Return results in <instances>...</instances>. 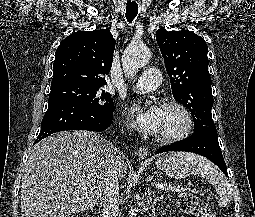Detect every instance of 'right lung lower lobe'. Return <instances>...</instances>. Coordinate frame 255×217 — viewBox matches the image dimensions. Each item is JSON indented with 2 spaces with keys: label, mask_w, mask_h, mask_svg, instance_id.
Segmentation results:
<instances>
[{
  "label": "right lung lower lobe",
  "mask_w": 255,
  "mask_h": 217,
  "mask_svg": "<svg viewBox=\"0 0 255 217\" xmlns=\"http://www.w3.org/2000/svg\"><path fill=\"white\" fill-rule=\"evenodd\" d=\"M113 112L103 113L66 100L49 102L43 117L40 133L34 142L65 130H90L101 132L112 123Z\"/></svg>",
  "instance_id": "1"
}]
</instances>
